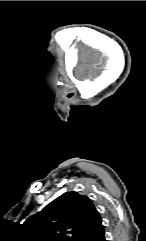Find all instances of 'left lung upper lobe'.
<instances>
[{
  "mask_svg": "<svg viewBox=\"0 0 146 241\" xmlns=\"http://www.w3.org/2000/svg\"><path fill=\"white\" fill-rule=\"evenodd\" d=\"M100 223L101 217L87 196L66 192L24 225L36 241H79Z\"/></svg>",
  "mask_w": 146,
  "mask_h": 241,
  "instance_id": "obj_1",
  "label": "left lung upper lobe"
}]
</instances>
